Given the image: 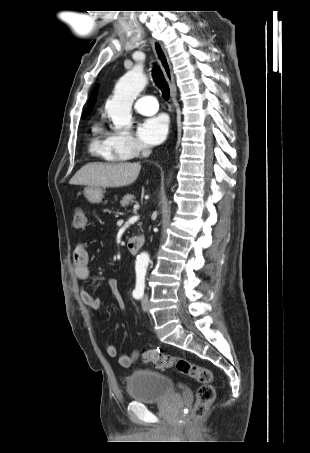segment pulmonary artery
<instances>
[{
  "instance_id": "1",
  "label": "pulmonary artery",
  "mask_w": 310,
  "mask_h": 453,
  "mask_svg": "<svg viewBox=\"0 0 310 453\" xmlns=\"http://www.w3.org/2000/svg\"><path fill=\"white\" fill-rule=\"evenodd\" d=\"M135 110L143 115H152L158 111L159 105L154 96L139 97L134 103Z\"/></svg>"
}]
</instances>
